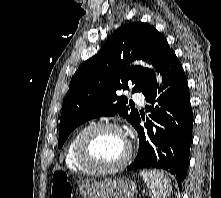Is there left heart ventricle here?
I'll return each instance as SVG.
<instances>
[{
	"label": "left heart ventricle",
	"mask_w": 221,
	"mask_h": 198,
	"mask_svg": "<svg viewBox=\"0 0 221 198\" xmlns=\"http://www.w3.org/2000/svg\"><path fill=\"white\" fill-rule=\"evenodd\" d=\"M89 151L96 163L111 166L123 159L127 151V143L121 133L115 130H101L92 136Z\"/></svg>",
	"instance_id": "obj_1"
}]
</instances>
